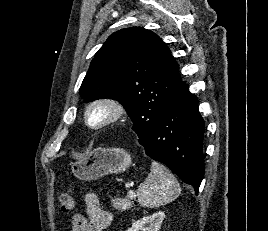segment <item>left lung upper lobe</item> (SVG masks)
<instances>
[{"label":"left lung upper lobe","instance_id":"left-lung-upper-lobe-1","mask_svg":"<svg viewBox=\"0 0 268 231\" xmlns=\"http://www.w3.org/2000/svg\"><path fill=\"white\" fill-rule=\"evenodd\" d=\"M184 84L178 64L160 37L131 27L113 33L97 51L79 94L87 102L119 101L140 136L152 129Z\"/></svg>","mask_w":268,"mask_h":231}]
</instances>
